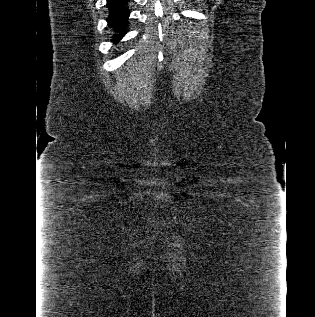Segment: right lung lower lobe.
I'll return each instance as SVG.
<instances>
[{
    "label": "right lung lower lobe",
    "instance_id": "obj_1",
    "mask_svg": "<svg viewBox=\"0 0 315 317\" xmlns=\"http://www.w3.org/2000/svg\"><path fill=\"white\" fill-rule=\"evenodd\" d=\"M109 27L115 32L114 41L120 40L126 34V25L130 11L127 9L128 0H107Z\"/></svg>",
    "mask_w": 315,
    "mask_h": 317
}]
</instances>
